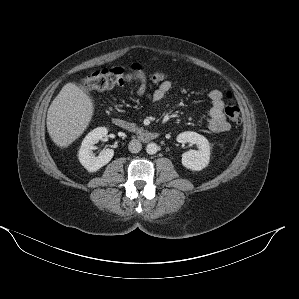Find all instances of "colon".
I'll return each instance as SVG.
<instances>
[{
  "label": "colon",
  "mask_w": 299,
  "mask_h": 299,
  "mask_svg": "<svg viewBox=\"0 0 299 299\" xmlns=\"http://www.w3.org/2000/svg\"><path fill=\"white\" fill-rule=\"evenodd\" d=\"M142 77H147L154 82H160L163 81L166 76L160 70L143 71L118 66L98 70L89 74L84 78L83 85L86 89L91 91H105L122 85L127 81ZM226 98L229 101L234 100L232 91L228 90L226 92ZM225 113L230 120L237 121L240 116V108L236 104L231 103L226 106Z\"/></svg>",
  "instance_id": "5ec220e1"
}]
</instances>
